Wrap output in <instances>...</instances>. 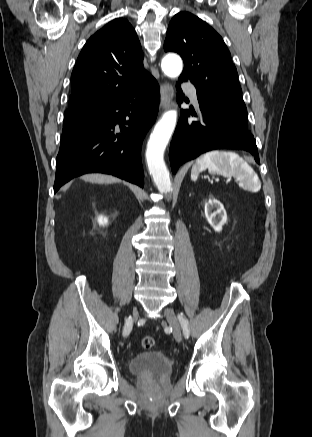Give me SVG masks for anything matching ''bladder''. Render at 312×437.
Instances as JSON below:
<instances>
[{"label":"bladder","mask_w":312,"mask_h":437,"mask_svg":"<svg viewBox=\"0 0 312 437\" xmlns=\"http://www.w3.org/2000/svg\"><path fill=\"white\" fill-rule=\"evenodd\" d=\"M128 369L133 375L166 377L172 373L173 364L161 351H142L129 360Z\"/></svg>","instance_id":"31cf9c89"}]
</instances>
